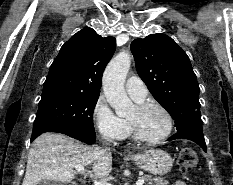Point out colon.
I'll use <instances>...</instances> for the list:
<instances>
[{
    "label": "colon",
    "mask_w": 233,
    "mask_h": 185,
    "mask_svg": "<svg viewBox=\"0 0 233 185\" xmlns=\"http://www.w3.org/2000/svg\"><path fill=\"white\" fill-rule=\"evenodd\" d=\"M196 162L197 156L193 148L183 147L180 150L177 166L181 173L186 174L190 172L195 167Z\"/></svg>",
    "instance_id": "5ec220e1"
}]
</instances>
